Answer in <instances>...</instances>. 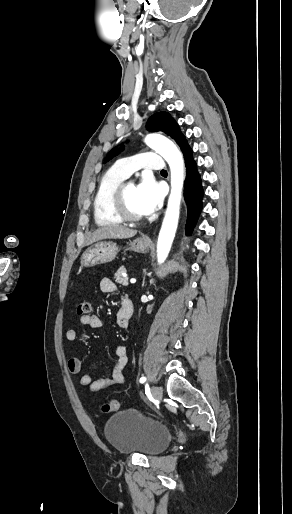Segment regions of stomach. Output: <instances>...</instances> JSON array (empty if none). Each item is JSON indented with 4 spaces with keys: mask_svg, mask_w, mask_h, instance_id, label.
Masks as SVG:
<instances>
[{
    "mask_svg": "<svg viewBox=\"0 0 292 514\" xmlns=\"http://www.w3.org/2000/svg\"><path fill=\"white\" fill-rule=\"evenodd\" d=\"M148 246L142 238H137V240H133V242H129L127 250H132V252H140V254H146ZM119 252V248L117 244H113V242H98L95 246H92L90 250L84 252L81 256V266H85V268H90V266H97V264H107V262H112L115 260L117 254Z\"/></svg>",
    "mask_w": 292,
    "mask_h": 514,
    "instance_id": "0dacf381",
    "label": "stomach"
}]
</instances>
